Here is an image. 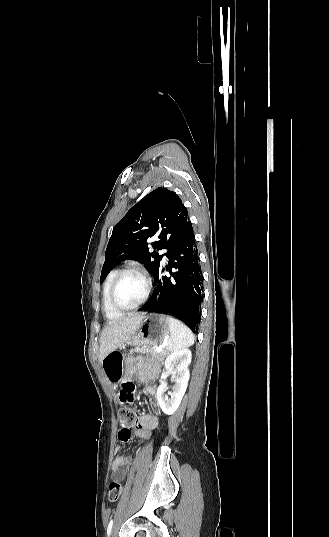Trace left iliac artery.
I'll list each match as a JSON object with an SVG mask.
<instances>
[{
	"mask_svg": "<svg viewBox=\"0 0 329 537\" xmlns=\"http://www.w3.org/2000/svg\"><path fill=\"white\" fill-rule=\"evenodd\" d=\"M113 519L110 520L109 524H108V528H107V536L109 537L110 534H111V530H112V526H113Z\"/></svg>",
	"mask_w": 329,
	"mask_h": 537,
	"instance_id": "1",
	"label": "left iliac artery"
}]
</instances>
